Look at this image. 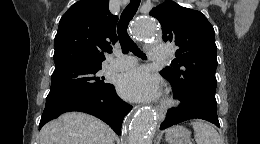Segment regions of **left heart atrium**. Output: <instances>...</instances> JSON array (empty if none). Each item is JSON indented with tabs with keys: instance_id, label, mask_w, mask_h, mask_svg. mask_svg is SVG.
<instances>
[{
	"instance_id": "obj_1",
	"label": "left heart atrium",
	"mask_w": 260,
	"mask_h": 144,
	"mask_svg": "<svg viewBox=\"0 0 260 144\" xmlns=\"http://www.w3.org/2000/svg\"><path fill=\"white\" fill-rule=\"evenodd\" d=\"M118 90L131 101H153L161 94L160 79L143 68H136L119 77Z\"/></svg>"
}]
</instances>
